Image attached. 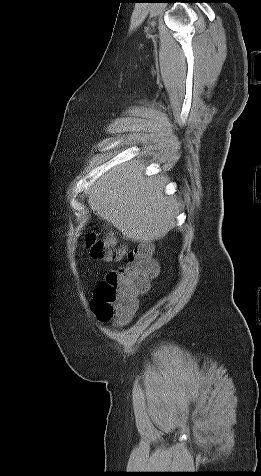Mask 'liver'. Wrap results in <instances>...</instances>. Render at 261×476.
I'll list each match as a JSON object with an SVG mask.
<instances>
[{
	"label": "liver",
	"instance_id": "6515ba94",
	"mask_svg": "<svg viewBox=\"0 0 261 476\" xmlns=\"http://www.w3.org/2000/svg\"><path fill=\"white\" fill-rule=\"evenodd\" d=\"M166 178L145 175L143 161H129L100 176L92 185L88 204L124 238L159 240L175 226L177 201L164 192Z\"/></svg>",
	"mask_w": 261,
	"mask_h": 476
}]
</instances>
